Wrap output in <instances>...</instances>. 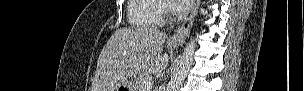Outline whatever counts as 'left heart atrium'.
<instances>
[{
    "label": "left heart atrium",
    "instance_id": "39dd6f15",
    "mask_svg": "<svg viewBox=\"0 0 304 91\" xmlns=\"http://www.w3.org/2000/svg\"><path fill=\"white\" fill-rule=\"evenodd\" d=\"M171 9L175 13H184L191 7L190 0H170L169 1Z\"/></svg>",
    "mask_w": 304,
    "mask_h": 91
}]
</instances>
